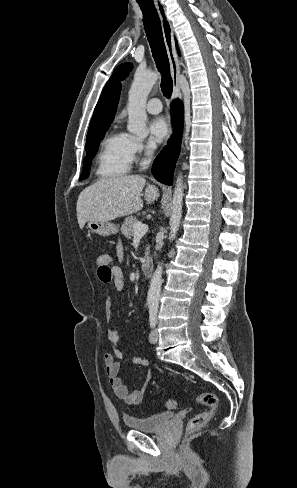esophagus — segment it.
<instances>
[{"label": "esophagus", "mask_w": 297, "mask_h": 488, "mask_svg": "<svg viewBox=\"0 0 297 488\" xmlns=\"http://www.w3.org/2000/svg\"><path fill=\"white\" fill-rule=\"evenodd\" d=\"M156 7L161 19L164 42H165V46H166V50L170 62V68H171L172 79H173V97L174 99H177L180 98L181 95V90H180L181 68L175 50L172 25L169 19L167 18L164 5L159 0H156Z\"/></svg>", "instance_id": "34e87169"}]
</instances>
